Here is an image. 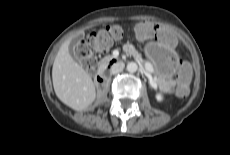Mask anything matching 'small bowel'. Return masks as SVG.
<instances>
[{"instance_id": "1", "label": "small bowel", "mask_w": 230, "mask_h": 155, "mask_svg": "<svg viewBox=\"0 0 230 155\" xmlns=\"http://www.w3.org/2000/svg\"><path fill=\"white\" fill-rule=\"evenodd\" d=\"M134 34L139 38L140 44L146 47L153 44L154 37H157L161 46L167 49L178 45L180 42L179 36L165 29L163 23L160 21L138 23L134 27Z\"/></svg>"}]
</instances>
